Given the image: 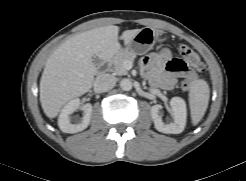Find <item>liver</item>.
<instances>
[{"label":"liver","instance_id":"liver-1","mask_svg":"<svg viewBox=\"0 0 246 181\" xmlns=\"http://www.w3.org/2000/svg\"><path fill=\"white\" fill-rule=\"evenodd\" d=\"M140 31H124V44ZM118 33L114 25L94 28L69 38L51 54L40 80V102L47 117L55 118L69 100L91 89L96 72L92 58L107 60L118 54Z\"/></svg>","mask_w":246,"mask_h":181}]
</instances>
